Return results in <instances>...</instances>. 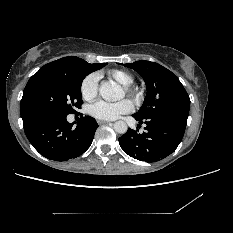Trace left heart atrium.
Returning a JSON list of instances; mask_svg holds the SVG:
<instances>
[{"mask_svg": "<svg viewBox=\"0 0 233 233\" xmlns=\"http://www.w3.org/2000/svg\"><path fill=\"white\" fill-rule=\"evenodd\" d=\"M133 109L132 103L128 99H123L117 102H107L103 100L96 101L90 108V114L100 120H115L123 114L131 112Z\"/></svg>", "mask_w": 233, "mask_h": 233, "instance_id": "1", "label": "left heart atrium"}]
</instances>
